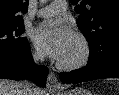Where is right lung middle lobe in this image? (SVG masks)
Wrapping results in <instances>:
<instances>
[{"label":"right lung middle lobe","instance_id":"dd1d6c3e","mask_svg":"<svg viewBox=\"0 0 119 95\" xmlns=\"http://www.w3.org/2000/svg\"><path fill=\"white\" fill-rule=\"evenodd\" d=\"M24 32L23 21L0 25V48L19 47L27 41L21 37Z\"/></svg>","mask_w":119,"mask_h":95}]
</instances>
